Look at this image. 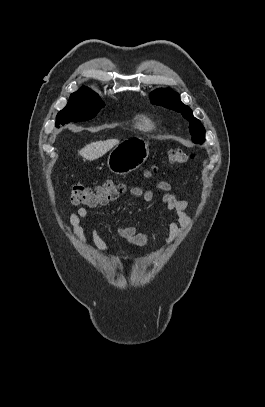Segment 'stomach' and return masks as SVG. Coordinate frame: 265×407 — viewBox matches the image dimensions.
<instances>
[{
    "instance_id": "0dacf381",
    "label": "stomach",
    "mask_w": 265,
    "mask_h": 407,
    "mask_svg": "<svg viewBox=\"0 0 265 407\" xmlns=\"http://www.w3.org/2000/svg\"><path fill=\"white\" fill-rule=\"evenodd\" d=\"M148 143L142 139H130L119 143L110 152L107 165L111 172L128 174L141 166L148 158Z\"/></svg>"
}]
</instances>
